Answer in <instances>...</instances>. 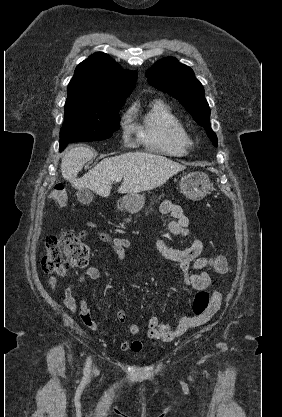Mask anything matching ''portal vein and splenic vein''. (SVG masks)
<instances>
[{
	"label": "portal vein and splenic vein",
	"instance_id": "18ae733b",
	"mask_svg": "<svg viewBox=\"0 0 282 417\" xmlns=\"http://www.w3.org/2000/svg\"><path fill=\"white\" fill-rule=\"evenodd\" d=\"M121 178H115V182H120Z\"/></svg>",
	"mask_w": 282,
	"mask_h": 417
}]
</instances>
